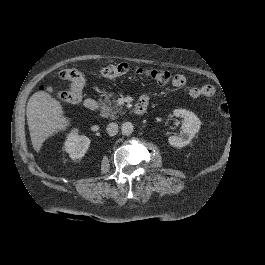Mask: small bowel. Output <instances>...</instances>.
Masks as SVG:
<instances>
[{
	"label": "small bowel",
	"instance_id": "obj_1",
	"mask_svg": "<svg viewBox=\"0 0 265 265\" xmlns=\"http://www.w3.org/2000/svg\"><path fill=\"white\" fill-rule=\"evenodd\" d=\"M186 82H187L186 77L182 74H176L172 80L173 85L178 88L184 87L186 85ZM214 93H215V88L211 84H204L201 86H192L189 89V96L194 99L200 98V97H211L214 95ZM149 100H150L149 95L143 94L140 97L139 102H142L148 105Z\"/></svg>",
	"mask_w": 265,
	"mask_h": 265
}]
</instances>
